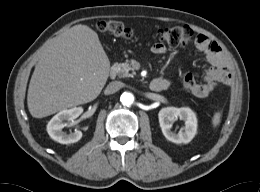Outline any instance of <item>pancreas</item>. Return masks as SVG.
I'll return each instance as SVG.
<instances>
[{
  "label": "pancreas",
  "instance_id": "obj_1",
  "mask_svg": "<svg viewBox=\"0 0 260 192\" xmlns=\"http://www.w3.org/2000/svg\"><path fill=\"white\" fill-rule=\"evenodd\" d=\"M116 68L118 69V77L119 78H124V77H130L133 74H130L129 72L133 70L129 63L124 62V63H116Z\"/></svg>",
  "mask_w": 260,
  "mask_h": 192
}]
</instances>
